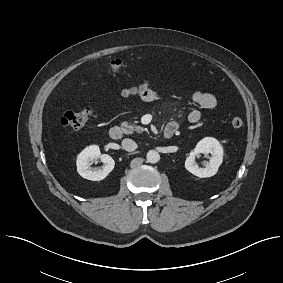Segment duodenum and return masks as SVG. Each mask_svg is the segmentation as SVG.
Segmentation results:
<instances>
[{
    "instance_id": "duodenum-1",
    "label": "duodenum",
    "mask_w": 283,
    "mask_h": 283,
    "mask_svg": "<svg viewBox=\"0 0 283 283\" xmlns=\"http://www.w3.org/2000/svg\"><path fill=\"white\" fill-rule=\"evenodd\" d=\"M176 131L177 127L174 124H168L163 131V136L164 138L169 139L174 136ZM109 136L114 140H118L122 136V131L117 126L111 127L109 130Z\"/></svg>"
}]
</instances>
